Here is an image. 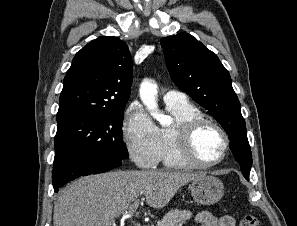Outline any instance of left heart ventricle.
<instances>
[{"instance_id": "b2bd125f", "label": "left heart ventricle", "mask_w": 297, "mask_h": 226, "mask_svg": "<svg viewBox=\"0 0 297 226\" xmlns=\"http://www.w3.org/2000/svg\"><path fill=\"white\" fill-rule=\"evenodd\" d=\"M223 137L213 126L202 127L194 138V152L203 162L217 159L223 148Z\"/></svg>"}]
</instances>
